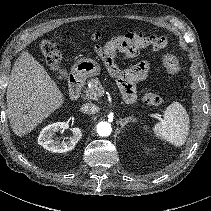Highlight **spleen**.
Instances as JSON below:
<instances>
[{
  "mask_svg": "<svg viewBox=\"0 0 211 211\" xmlns=\"http://www.w3.org/2000/svg\"><path fill=\"white\" fill-rule=\"evenodd\" d=\"M153 133L174 146L185 144L189 133V117L184 107L173 102L164 111L163 119L156 123Z\"/></svg>",
  "mask_w": 211,
  "mask_h": 211,
  "instance_id": "1",
  "label": "spleen"
}]
</instances>
